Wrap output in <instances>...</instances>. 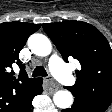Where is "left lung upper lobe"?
<instances>
[{"instance_id":"left-lung-upper-lobe-1","label":"left lung upper lobe","mask_w":112,"mask_h":112,"mask_svg":"<svg viewBox=\"0 0 112 112\" xmlns=\"http://www.w3.org/2000/svg\"><path fill=\"white\" fill-rule=\"evenodd\" d=\"M63 59H77L76 83L65 87L74 97L112 102V49L103 34L81 21L42 25Z\"/></svg>"}]
</instances>
